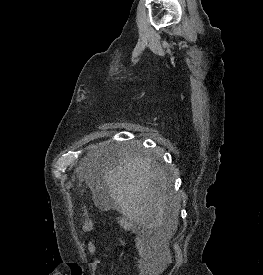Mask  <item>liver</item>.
Wrapping results in <instances>:
<instances>
[{
	"instance_id": "1",
	"label": "liver",
	"mask_w": 263,
	"mask_h": 275,
	"mask_svg": "<svg viewBox=\"0 0 263 275\" xmlns=\"http://www.w3.org/2000/svg\"><path fill=\"white\" fill-rule=\"evenodd\" d=\"M88 167L87 162H82L76 172L83 176ZM103 174L110 197L129 221L148 228L165 223L176 228L179 206L168 195L164 169L151 157L125 153L113 160Z\"/></svg>"
}]
</instances>
